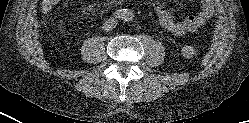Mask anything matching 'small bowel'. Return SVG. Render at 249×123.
<instances>
[{
  "instance_id": "small-bowel-1",
  "label": "small bowel",
  "mask_w": 249,
  "mask_h": 123,
  "mask_svg": "<svg viewBox=\"0 0 249 123\" xmlns=\"http://www.w3.org/2000/svg\"><path fill=\"white\" fill-rule=\"evenodd\" d=\"M61 1L62 0H43V9L49 11ZM153 9L160 26L174 36L180 37L188 32H196L205 25L207 20L215 14V3L214 0H200V10L180 21H177L173 13L160 3H155ZM85 10L86 9H84L83 12Z\"/></svg>"
}]
</instances>
